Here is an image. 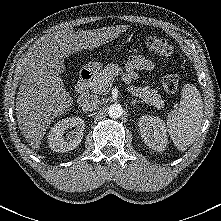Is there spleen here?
I'll return each mask as SVG.
<instances>
[{
  "mask_svg": "<svg viewBox=\"0 0 221 221\" xmlns=\"http://www.w3.org/2000/svg\"><path fill=\"white\" fill-rule=\"evenodd\" d=\"M203 119V101L193 84H185L180 106L168 115L167 128L171 139L180 151H185L195 141Z\"/></svg>",
  "mask_w": 221,
  "mask_h": 221,
  "instance_id": "1",
  "label": "spleen"
}]
</instances>
